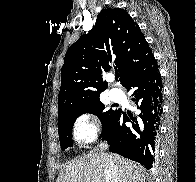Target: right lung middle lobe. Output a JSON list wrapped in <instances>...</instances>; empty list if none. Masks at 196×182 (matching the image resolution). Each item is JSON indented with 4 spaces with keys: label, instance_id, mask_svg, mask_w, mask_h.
<instances>
[{
    "label": "right lung middle lobe",
    "instance_id": "dd1d6c3e",
    "mask_svg": "<svg viewBox=\"0 0 196 182\" xmlns=\"http://www.w3.org/2000/svg\"><path fill=\"white\" fill-rule=\"evenodd\" d=\"M117 111L118 110L112 109L105 110V106L101 103L99 97H96L84 104L72 107L58 115V132L61 149L64 151L67 147L72 146V128L77 117L84 113H92L97 115L102 123L103 134L110 125Z\"/></svg>",
    "mask_w": 196,
    "mask_h": 182
}]
</instances>
